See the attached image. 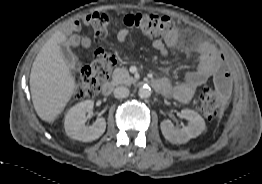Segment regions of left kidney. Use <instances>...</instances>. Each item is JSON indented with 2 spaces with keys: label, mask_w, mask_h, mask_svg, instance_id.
Instances as JSON below:
<instances>
[{
  "label": "left kidney",
  "mask_w": 262,
  "mask_h": 184,
  "mask_svg": "<svg viewBox=\"0 0 262 184\" xmlns=\"http://www.w3.org/2000/svg\"><path fill=\"white\" fill-rule=\"evenodd\" d=\"M181 116L189 121L188 126L182 129H176L170 120H164L160 124L163 136L171 143H186L199 136L206 129L204 119L197 112L183 109Z\"/></svg>",
  "instance_id": "1"
}]
</instances>
